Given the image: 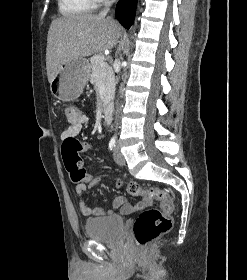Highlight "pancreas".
I'll use <instances>...</instances> for the list:
<instances>
[{"label":"pancreas","instance_id":"obj_1","mask_svg":"<svg viewBox=\"0 0 247 280\" xmlns=\"http://www.w3.org/2000/svg\"><path fill=\"white\" fill-rule=\"evenodd\" d=\"M102 63H105V57L103 55H94L90 59L91 75L90 79L92 83H96L98 78L103 80L105 85L103 105H105L110 97L114 86V73L110 67L102 68Z\"/></svg>","mask_w":247,"mask_h":280}]
</instances>
